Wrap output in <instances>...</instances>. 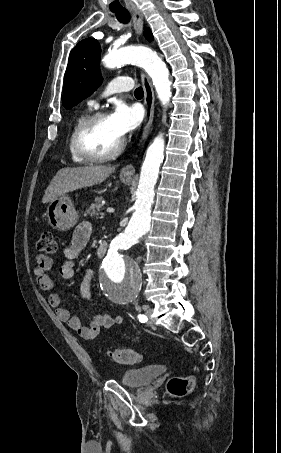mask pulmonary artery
Masks as SVG:
<instances>
[{"mask_svg":"<svg viewBox=\"0 0 281 453\" xmlns=\"http://www.w3.org/2000/svg\"><path fill=\"white\" fill-rule=\"evenodd\" d=\"M128 80H131V78L130 77H117V78L112 79L109 82V85L114 87L113 92L126 91V90H128V87L125 82ZM91 104L95 107L98 106L97 102H92Z\"/></svg>","mask_w":281,"mask_h":453,"instance_id":"obj_1","label":"pulmonary artery"}]
</instances>
